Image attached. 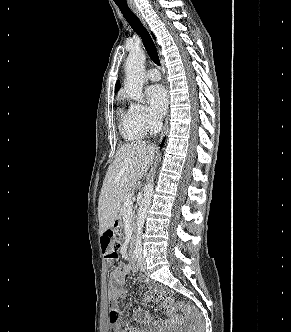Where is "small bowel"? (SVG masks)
Here are the masks:
<instances>
[{
    "mask_svg": "<svg viewBox=\"0 0 291 332\" xmlns=\"http://www.w3.org/2000/svg\"><path fill=\"white\" fill-rule=\"evenodd\" d=\"M121 254L126 253V247L122 246L120 249ZM133 271L136 272L135 266H127L125 264H120L117 267L114 268V270L111 273L110 277V283L108 287V298L111 303V305L114 308H117V303L120 299H123L126 297L127 292L124 289V283H125V278L128 273V271ZM146 298L148 300L154 301V302H161L162 306L166 309L168 318L164 321H153L152 322V329H139V330H134L130 329L129 332H156V331H161L166 328H172L181 323V317L176 315L174 311L170 310L167 306V302L169 298H164L163 297V292L160 288L157 287H151L150 291L148 292ZM138 317L142 322H149L150 316L142 311L138 310ZM119 332H121L119 330ZM123 332V331H122Z\"/></svg>",
    "mask_w": 291,
    "mask_h": 332,
    "instance_id": "small-bowel-1",
    "label": "small bowel"
}]
</instances>
